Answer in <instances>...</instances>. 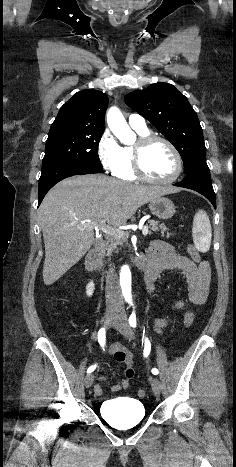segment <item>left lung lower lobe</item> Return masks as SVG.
<instances>
[{
  "instance_id": "0a47b994",
  "label": "left lung lower lobe",
  "mask_w": 236,
  "mask_h": 467,
  "mask_svg": "<svg viewBox=\"0 0 236 467\" xmlns=\"http://www.w3.org/2000/svg\"><path fill=\"white\" fill-rule=\"evenodd\" d=\"M178 187L192 189L204 195L216 208V197L211 183L208 166L199 167L186 174L185 178L174 184Z\"/></svg>"
}]
</instances>
